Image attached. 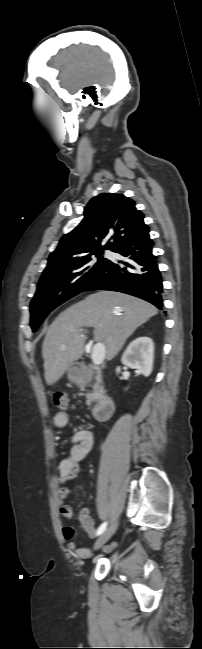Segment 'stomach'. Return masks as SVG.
Wrapping results in <instances>:
<instances>
[{
    "label": "stomach",
    "mask_w": 202,
    "mask_h": 649,
    "mask_svg": "<svg viewBox=\"0 0 202 649\" xmlns=\"http://www.w3.org/2000/svg\"><path fill=\"white\" fill-rule=\"evenodd\" d=\"M67 376L70 382L78 384L82 380L83 374L77 367L70 366L67 369Z\"/></svg>",
    "instance_id": "1"
}]
</instances>
